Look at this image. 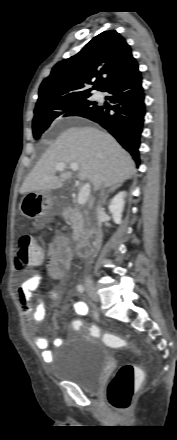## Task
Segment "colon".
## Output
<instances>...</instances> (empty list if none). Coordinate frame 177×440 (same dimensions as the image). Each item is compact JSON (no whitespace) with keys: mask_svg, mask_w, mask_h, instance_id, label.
<instances>
[{"mask_svg":"<svg viewBox=\"0 0 177 440\" xmlns=\"http://www.w3.org/2000/svg\"><path fill=\"white\" fill-rule=\"evenodd\" d=\"M15 267L23 272L41 264L45 259L43 249L37 245L30 235L21 236L15 246ZM73 327L79 330L83 327L80 320L73 321ZM89 332L96 338H101L108 346L122 348L129 345L125 338L108 332H102L97 326H90ZM141 382V374L133 364L122 365L109 382L106 397L115 409H126L130 406L133 394Z\"/></svg>","mask_w":177,"mask_h":440,"instance_id":"colon-1","label":"colon"}]
</instances>
